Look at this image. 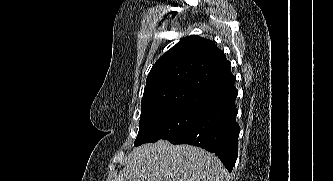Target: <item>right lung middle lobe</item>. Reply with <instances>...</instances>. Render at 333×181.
Returning a JSON list of instances; mask_svg holds the SVG:
<instances>
[{"mask_svg":"<svg viewBox=\"0 0 333 181\" xmlns=\"http://www.w3.org/2000/svg\"><path fill=\"white\" fill-rule=\"evenodd\" d=\"M206 109L192 105H163L141 110L134 145L171 140L189 129Z\"/></svg>","mask_w":333,"mask_h":181,"instance_id":"1","label":"right lung middle lobe"}]
</instances>
